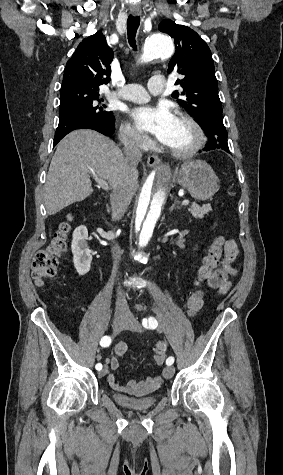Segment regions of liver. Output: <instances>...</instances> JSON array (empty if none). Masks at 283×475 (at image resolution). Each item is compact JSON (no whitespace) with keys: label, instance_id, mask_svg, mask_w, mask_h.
I'll list each match as a JSON object with an SVG mask.
<instances>
[{"label":"liver","instance_id":"liver-1","mask_svg":"<svg viewBox=\"0 0 283 475\" xmlns=\"http://www.w3.org/2000/svg\"><path fill=\"white\" fill-rule=\"evenodd\" d=\"M125 168V156L113 140L94 130L71 132L59 142L51 160L44 192L48 216L92 194L89 174L107 180L112 188L118 180L129 178L135 194L138 172L125 176Z\"/></svg>","mask_w":283,"mask_h":475}]
</instances>
